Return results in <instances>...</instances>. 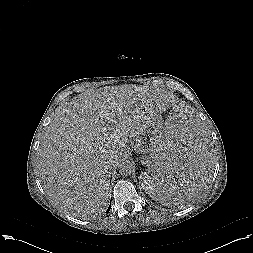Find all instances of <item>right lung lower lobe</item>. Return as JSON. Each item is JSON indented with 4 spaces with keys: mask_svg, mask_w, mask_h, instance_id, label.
Instances as JSON below:
<instances>
[{
    "mask_svg": "<svg viewBox=\"0 0 253 253\" xmlns=\"http://www.w3.org/2000/svg\"><path fill=\"white\" fill-rule=\"evenodd\" d=\"M111 206V205H110ZM110 206H109V208L107 209V212L106 213H108L109 212V210H110Z\"/></svg>",
    "mask_w": 253,
    "mask_h": 253,
    "instance_id": "right-lung-lower-lobe-1",
    "label": "right lung lower lobe"
}]
</instances>
